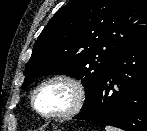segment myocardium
Instances as JSON below:
<instances>
[{
    "mask_svg": "<svg viewBox=\"0 0 147 131\" xmlns=\"http://www.w3.org/2000/svg\"><path fill=\"white\" fill-rule=\"evenodd\" d=\"M52 82H63L67 84L74 93V100L72 105L63 112L60 113H53V114H45L42 113L36 106V95L38 91L45 86L46 84L52 83ZM87 99V91L83 84V82L77 78L74 75L67 74V73H59L51 75L45 79H43L41 82H39L36 87L33 89L31 93V106L32 109L42 118L47 120H60V119H67L72 116H75L78 114L82 108L85 105Z\"/></svg>",
    "mask_w": 147,
    "mask_h": 131,
    "instance_id": "f54148a6",
    "label": "myocardium"
}]
</instances>
